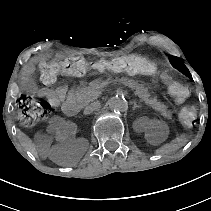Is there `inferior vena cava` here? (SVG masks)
I'll return each instance as SVG.
<instances>
[{"label": "inferior vena cava", "instance_id": "inferior-vena-cava-1", "mask_svg": "<svg viewBox=\"0 0 211 211\" xmlns=\"http://www.w3.org/2000/svg\"><path fill=\"white\" fill-rule=\"evenodd\" d=\"M98 108H99L98 103H96V102L91 103L90 105L85 107L84 114L89 115V114L93 113L94 111H96Z\"/></svg>", "mask_w": 211, "mask_h": 211}]
</instances>
